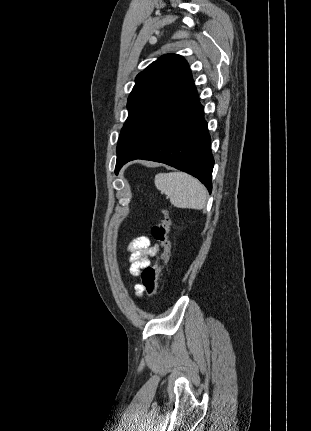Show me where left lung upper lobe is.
<instances>
[{"instance_id": "left-lung-upper-lobe-1", "label": "left lung upper lobe", "mask_w": 311, "mask_h": 431, "mask_svg": "<svg viewBox=\"0 0 311 431\" xmlns=\"http://www.w3.org/2000/svg\"><path fill=\"white\" fill-rule=\"evenodd\" d=\"M191 80L188 63L177 54L163 55L137 75L128 97V118L119 136L117 155L130 147L151 118Z\"/></svg>"}]
</instances>
